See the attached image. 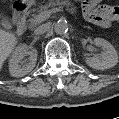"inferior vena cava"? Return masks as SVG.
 I'll list each match as a JSON object with an SVG mask.
<instances>
[{
    "mask_svg": "<svg viewBox=\"0 0 119 119\" xmlns=\"http://www.w3.org/2000/svg\"><path fill=\"white\" fill-rule=\"evenodd\" d=\"M49 29H50V24L45 23V24H42V25L38 26V27L34 30V34H35V35H41V34L46 33Z\"/></svg>",
    "mask_w": 119,
    "mask_h": 119,
    "instance_id": "obj_1",
    "label": "inferior vena cava"
}]
</instances>
